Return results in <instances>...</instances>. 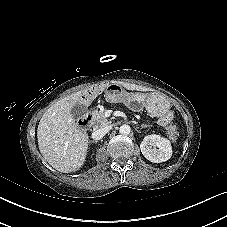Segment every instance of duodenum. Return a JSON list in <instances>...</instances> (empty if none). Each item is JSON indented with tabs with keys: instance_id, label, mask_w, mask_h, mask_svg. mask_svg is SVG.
<instances>
[{
	"instance_id": "obj_1",
	"label": "duodenum",
	"mask_w": 227,
	"mask_h": 227,
	"mask_svg": "<svg viewBox=\"0 0 227 227\" xmlns=\"http://www.w3.org/2000/svg\"><path fill=\"white\" fill-rule=\"evenodd\" d=\"M93 113V108L89 110L87 114H85L81 119L78 121V124L82 128H88L91 125V115Z\"/></svg>"
}]
</instances>
